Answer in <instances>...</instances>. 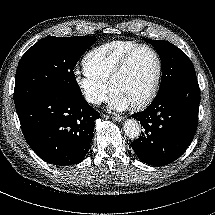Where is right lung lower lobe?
Masks as SVG:
<instances>
[{"label": "right lung lower lobe", "mask_w": 215, "mask_h": 215, "mask_svg": "<svg viewBox=\"0 0 215 215\" xmlns=\"http://www.w3.org/2000/svg\"><path fill=\"white\" fill-rule=\"evenodd\" d=\"M23 135L49 164H78L89 151L99 113L82 96L39 93L15 104Z\"/></svg>", "instance_id": "obj_1"}]
</instances>
